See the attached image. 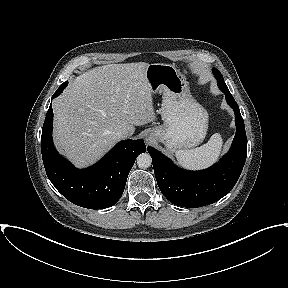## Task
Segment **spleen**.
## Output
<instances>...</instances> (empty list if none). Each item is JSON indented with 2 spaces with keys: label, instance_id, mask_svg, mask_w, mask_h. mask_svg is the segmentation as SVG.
I'll list each match as a JSON object with an SVG mask.
<instances>
[{
  "label": "spleen",
  "instance_id": "3e777b00",
  "mask_svg": "<svg viewBox=\"0 0 288 288\" xmlns=\"http://www.w3.org/2000/svg\"><path fill=\"white\" fill-rule=\"evenodd\" d=\"M222 145L221 135L215 133L206 144L191 150H177L175 156L179 165L186 169H204L218 160Z\"/></svg>",
  "mask_w": 288,
  "mask_h": 288
}]
</instances>
